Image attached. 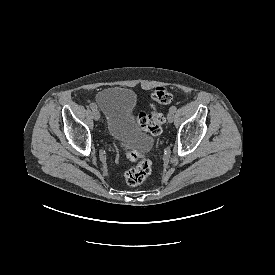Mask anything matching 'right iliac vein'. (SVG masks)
<instances>
[{
	"label": "right iliac vein",
	"instance_id": "1",
	"mask_svg": "<svg viewBox=\"0 0 275 275\" xmlns=\"http://www.w3.org/2000/svg\"><path fill=\"white\" fill-rule=\"evenodd\" d=\"M92 116L95 120H99L100 119V113L99 111L97 110V108L93 109L92 111Z\"/></svg>",
	"mask_w": 275,
	"mask_h": 275
}]
</instances>
